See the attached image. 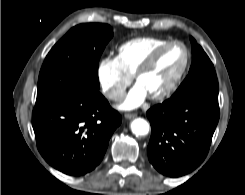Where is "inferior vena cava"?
<instances>
[{"instance_id": "inferior-vena-cava-1", "label": "inferior vena cava", "mask_w": 245, "mask_h": 195, "mask_svg": "<svg viewBox=\"0 0 245 195\" xmlns=\"http://www.w3.org/2000/svg\"><path fill=\"white\" fill-rule=\"evenodd\" d=\"M125 95L124 91H113L108 94L109 98L119 102L124 100Z\"/></svg>"}]
</instances>
